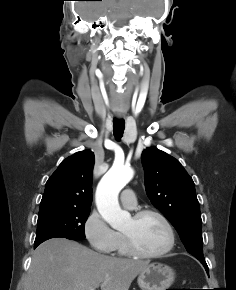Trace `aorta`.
I'll return each mask as SVG.
<instances>
[{"mask_svg":"<svg viewBox=\"0 0 236 290\" xmlns=\"http://www.w3.org/2000/svg\"><path fill=\"white\" fill-rule=\"evenodd\" d=\"M133 177V170L114 165L100 180L95 194L96 206L103 219L114 229H121L130 220V214L121 209L119 192Z\"/></svg>","mask_w":236,"mask_h":290,"instance_id":"obj_1","label":"aorta"}]
</instances>
